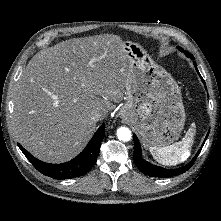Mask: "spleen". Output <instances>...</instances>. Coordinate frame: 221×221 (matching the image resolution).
I'll return each instance as SVG.
<instances>
[{"mask_svg":"<svg viewBox=\"0 0 221 221\" xmlns=\"http://www.w3.org/2000/svg\"><path fill=\"white\" fill-rule=\"evenodd\" d=\"M194 136L195 123H192L191 128L188 129L182 141L165 147L151 146L149 147V151L160 164L165 166L177 165L189 158Z\"/></svg>","mask_w":221,"mask_h":221,"instance_id":"spleen-1","label":"spleen"}]
</instances>
